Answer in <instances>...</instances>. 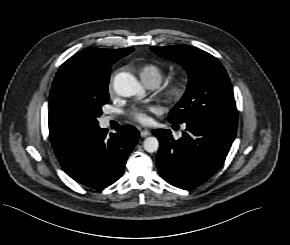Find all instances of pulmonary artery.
<instances>
[{"label":"pulmonary artery","mask_w":290,"mask_h":245,"mask_svg":"<svg viewBox=\"0 0 290 245\" xmlns=\"http://www.w3.org/2000/svg\"><path fill=\"white\" fill-rule=\"evenodd\" d=\"M159 81L158 80H156V79H154V80H150V81H148V82H145V84L149 87V88H156L158 85H159ZM114 118V116H112V115H109V116H106L105 117V122H108V121H110V120H112Z\"/></svg>","instance_id":"pulmonary-artery-1"}]
</instances>
